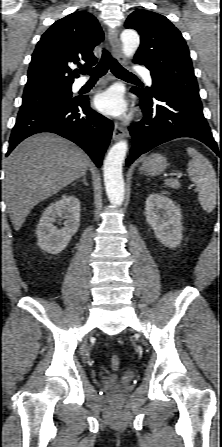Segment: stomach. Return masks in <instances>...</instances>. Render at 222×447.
<instances>
[{
    "label": "stomach",
    "instance_id": "1",
    "mask_svg": "<svg viewBox=\"0 0 222 447\" xmlns=\"http://www.w3.org/2000/svg\"><path fill=\"white\" fill-rule=\"evenodd\" d=\"M166 166V158L155 153L144 159L140 170L150 175H158L165 170Z\"/></svg>",
    "mask_w": 222,
    "mask_h": 447
}]
</instances>
